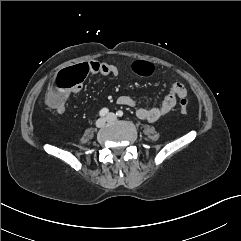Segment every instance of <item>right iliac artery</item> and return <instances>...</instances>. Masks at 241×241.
Masks as SVG:
<instances>
[{
    "mask_svg": "<svg viewBox=\"0 0 241 241\" xmlns=\"http://www.w3.org/2000/svg\"><path fill=\"white\" fill-rule=\"evenodd\" d=\"M109 110L107 108H103L102 110H100L99 115L101 117L105 116L106 114H108Z\"/></svg>",
    "mask_w": 241,
    "mask_h": 241,
    "instance_id": "right-iliac-artery-1",
    "label": "right iliac artery"
}]
</instances>
